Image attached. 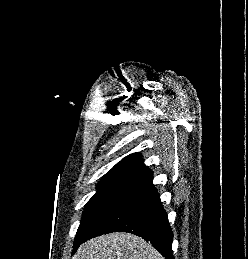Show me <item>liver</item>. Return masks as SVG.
I'll list each match as a JSON object with an SVG mask.
<instances>
[{"instance_id":"obj_1","label":"liver","mask_w":248,"mask_h":259,"mask_svg":"<svg viewBox=\"0 0 248 259\" xmlns=\"http://www.w3.org/2000/svg\"><path fill=\"white\" fill-rule=\"evenodd\" d=\"M75 259H164L148 242L130 233H111L83 243Z\"/></svg>"}]
</instances>
